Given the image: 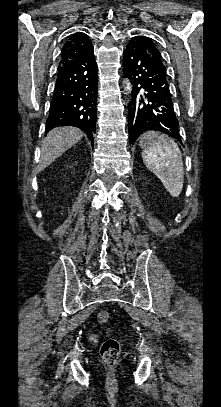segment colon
Listing matches in <instances>:
<instances>
[{
    "label": "colon",
    "mask_w": 221,
    "mask_h": 407,
    "mask_svg": "<svg viewBox=\"0 0 221 407\" xmlns=\"http://www.w3.org/2000/svg\"><path fill=\"white\" fill-rule=\"evenodd\" d=\"M109 313L107 311H100L97 315V319L101 324H105L109 321ZM120 353V342L117 338H107L103 341L100 348V355L109 368L115 366Z\"/></svg>",
    "instance_id": "1"
}]
</instances>
